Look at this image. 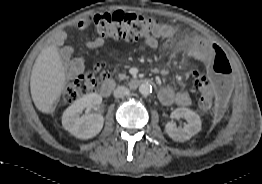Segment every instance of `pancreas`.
<instances>
[{
  "label": "pancreas",
  "mask_w": 262,
  "mask_h": 184,
  "mask_svg": "<svg viewBox=\"0 0 262 184\" xmlns=\"http://www.w3.org/2000/svg\"><path fill=\"white\" fill-rule=\"evenodd\" d=\"M119 79H121V80H123V79H128V76H126V74H123V73H121V74H119Z\"/></svg>",
  "instance_id": "1"
}]
</instances>
